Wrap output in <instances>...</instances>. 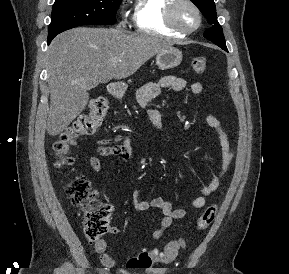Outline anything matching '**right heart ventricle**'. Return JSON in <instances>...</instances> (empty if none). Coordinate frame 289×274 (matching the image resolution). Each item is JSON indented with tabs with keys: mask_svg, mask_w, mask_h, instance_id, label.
<instances>
[{
	"mask_svg": "<svg viewBox=\"0 0 289 274\" xmlns=\"http://www.w3.org/2000/svg\"><path fill=\"white\" fill-rule=\"evenodd\" d=\"M171 0H135L132 21L137 31L169 37H181L165 23V10Z\"/></svg>",
	"mask_w": 289,
	"mask_h": 274,
	"instance_id": "obj_1",
	"label": "right heart ventricle"
}]
</instances>
